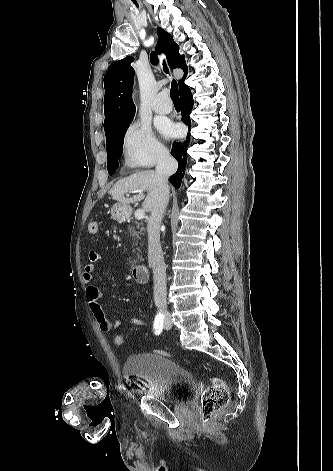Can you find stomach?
<instances>
[{
	"instance_id": "obj_1",
	"label": "stomach",
	"mask_w": 333,
	"mask_h": 471,
	"mask_svg": "<svg viewBox=\"0 0 333 471\" xmlns=\"http://www.w3.org/2000/svg\"><path fill=\"white\" fill-rule=\"evenodd\" d=\"M129 212V206L121 203H116L111 208V217L118 221L123 222L126 220Z\"/></svg>"
}]
</instances>
